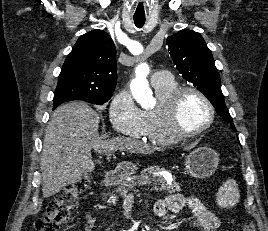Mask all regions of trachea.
<instances>
[{
  "instance_id": "3493384b",
  "label": "trachea",
  "mask_w": 268,
  "mask_h": 231,
  "mask_svg": "<svg viewBox=\"0 0 268 231\" xmlns=\"http://www.w3.org/2000/svg\"><path fill=\"white\" fill-rule=\"evenodd\" d=\"M134 23L138 28H141L145 23V19H136V18H134Z\"/></svg>"
}]
</instances>
